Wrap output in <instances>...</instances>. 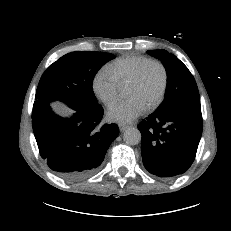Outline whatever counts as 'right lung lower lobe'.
Wrapping results in <instances>:
<instances>
[{
  "label": "right lung lower lobe",
  "instance_id": "1",
  "mask_svg": "<svg viewBox=\"0 0 231 231\" xmlns=\"http://www.w3.org/2000/svg\"><path fill=\"white\" fill-rule=\"evenodd\" d=\"M103 113L97 105L88 110L73 109V115L64 118L55 114L49 103L34 102L32 126L40 155L62 178H86L103 162L119 135L116 124L99 126Z\"/></svg>",
  "mask_w": 231,
  "mask_h": 231
}]
</instances>
